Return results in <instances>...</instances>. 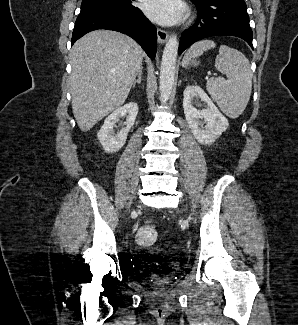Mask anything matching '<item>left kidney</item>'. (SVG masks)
<instances>
[{
	"label": "left kidney",
	"instance_id": "left-kidney-1",
	"mask_svg": "<svg viewBox=\"0 0 298 325\" xmlns=\"http://www.w3.org/2000/svg\"><path fill=\"white\" fill-rule=\"evenodd\" d=\"M196 98L203 100L205 108H195ZM183 110L191 132L201 144H212L229 126L228 118L215 106L205 90L197 84H188L183 90ZM200 118H204L201 122Z\"/></svg>",
	"mask_w": 298,
	"mask_h": 325
}]
</instances>
